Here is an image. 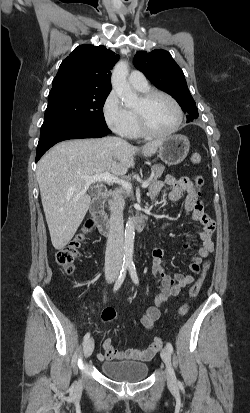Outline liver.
<instances>
[{
	"label": "liver",
	"instance_id": "liver-1",
	"mask_svg": "<svg viewBox=\"0 0 250 413\" xmlns=\"http://www.w3.org/2000/svg\"><path fill=\"white\" fill-rule=\"evenodd\" d=\"M160 144L152 141L139 148L118 137H103L63 141L49 150L39 160L36 176L53 247L68 244L89 209L84 177L104 172L123 176L136 153L152 156Z\"/></svg>",
	"mask_w": 250,
	"mask_h": 413
}]
</instances>
